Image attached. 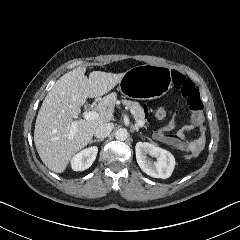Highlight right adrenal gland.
Masks as SVG:
<instances>
[{
	"instance_id": "right-adrenal-gland-1",
	"label": "right adrenal gland",
	"mask_w": 240,
	"mask_h": 240,
	"mask_svg": "<svg viewBox=\"0 0 240 240\" xmlns=\"http://www.w3.org/2000/svg\"><path fill=\"white\" fill-rule=\"evenodd\" d=\"M102 139H92L91 142H101Z\"/></svg>"
}]
</instances>
